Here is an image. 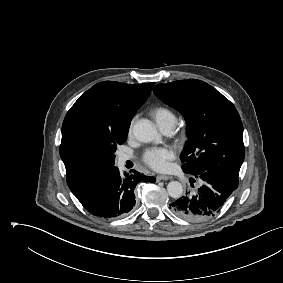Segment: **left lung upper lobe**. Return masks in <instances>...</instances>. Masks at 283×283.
<instances>
[{
	"label": "left lung upper lobe",
	"instance_id": "left-lung-upper-lobe-1",
	"mask_svg": "<svg viewBox=\"0 0 283 283\" xmlns=\"http://www.w3.org/2000/svg\"><path fill=\"white\" fill-rule=\"evenodd\" d=\"M164 103L186 119L188 142L180 155L183 171L239 176L244 160L243 125L234 105L201 80L158 84L153 89Z\"/></svg>",
	"mask_w": 283,
	"mask_h": 283
}]
</instances>
